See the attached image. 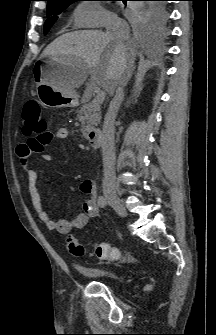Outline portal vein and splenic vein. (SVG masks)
<instances>
[{
    "mask_svg": "<svg viewBox=\"0 0 216 335\" xmlns=\"http://www.w3.org/2000/svg\"><path fill=\"white\" fill-rule=\"evenodd\" d=\"M105 97H106V93H105V91H99V92L97 93V95L95 96V98H94V102H95V103L103 102L104 99H105Z\"/></svg>",
    "mask_w": 216,
    "mask_h": 335,
    "instance_id": "1",
    "label": "portal vein and splenic vein"
}]
</instances>
